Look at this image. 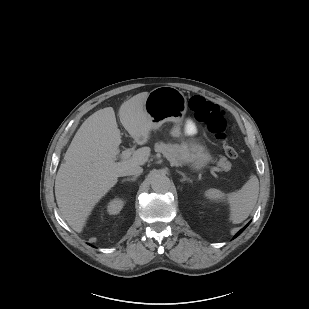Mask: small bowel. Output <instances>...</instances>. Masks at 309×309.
Masks as SVG:
<instances>
[{
	"label": "small bowel",
	"mask_w": 309,
	"mask_h": 309,
	"mask_svg": "<svg viewBox=\"0 0 309 309\" xmlns=\"http://www.w3.org/2000/svg\"><path fill=\"white\" fill-rule=\"evenodd\" d=\"M195 130H196L195 124L191 120H188L185 125L186 133L192 135L195 133Z\"/></svg>",
	"instance_id": "small-bowel-1"
}]
</instances>
